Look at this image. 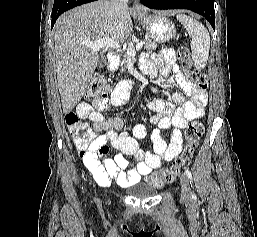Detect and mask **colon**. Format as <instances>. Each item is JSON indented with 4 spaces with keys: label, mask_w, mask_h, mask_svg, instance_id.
Here are the masks:
<instances>
[{
    "label": "colon",
    "mask_w": 257,
    "mask_h": 237,
    "mask_svg": "<svg viewBox=\"0 0 257 237\" xmlns=\"http://www.w3.org/2000/svg\"><path fill=\"white\" fill-rule=\"evenodd\" d=\"M178 56L182 62V67L185 70L187 80L196 88L205 90L208 87L207 76L200 70L192 67L188 48L180 46L178 48ZM110 90L111 88L106 78L98 76L91 81L86 95L88 100L95 104L104 101ZM65 123L71 136L81 147L86 146L93 139V136L88 132L86 123L82 121V118L78 113L73 111L68 112L65 115ZM203 131L204 127L200 121L194 120L189 123L185 131L186 144L182 154L176 159L171 167L150 173L147 177V183L155 188H162L173 182L179 175L182 166L187 164L193 158Z\"/></svg>",
    "instance_id": "colon-1"
}]
</instances>
